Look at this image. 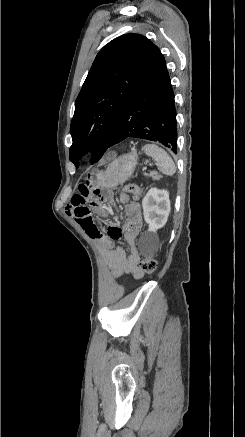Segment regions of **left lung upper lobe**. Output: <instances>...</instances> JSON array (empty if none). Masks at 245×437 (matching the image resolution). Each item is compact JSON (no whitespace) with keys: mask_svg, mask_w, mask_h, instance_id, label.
<instances>
[{"mask_svg":"<svg viewBox=\"0 0 245 437\" xmlns=\"http://www.w3.org/2000/svg\"><path fill=\"white\" fill-rule=\"evenodd\" d=\"M158 52L148 38L130 33L115 38L97 54L75 101L70 126L69 158L76 168L89 151L92 164L103 156L122 109Z\"/></svg>","mask_w":245,"mask_h":437,"instance_id":"1","label":"left lung upper lobe"}]
</instances>
